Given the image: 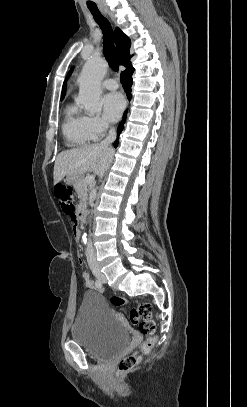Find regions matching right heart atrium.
Masks as SVG:
<instances>
[{"instance_id":"1","label":"right heart atrium","mask_w":247,"mask_h":407,"mask_svg":"<svg viewBox=\"0 0 247 407\" xmlns=\"http://www.w3.org/2000/svg\"><path fill=\"white\" fill-rule=\"evenodd\" d=\"M87 121L94 140L100 138L108 128V123L101 117H87Z\"/></svg>"}]
</instances>
